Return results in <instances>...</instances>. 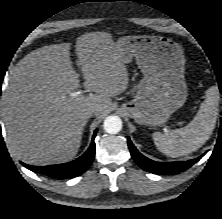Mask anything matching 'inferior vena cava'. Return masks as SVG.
<instances>
[{
	"label": "inferior vena cava",
	"mask_w": 222,
	"mask_h": 219,
	"mask_svg": "<svg viewBox=\"0 0 222 219\" xmlns=\"http://www.w3.org/2000/svg\"><path fill=\"white\" fill-rule=\"evenodd\" d=\"M98 112V108L97 107H92V108H89L86 112H85V115L86 116H91V115H94Z\"/></svg>",
	"instance_id": "inferior-vena-cava-1"
}]
</instances>
